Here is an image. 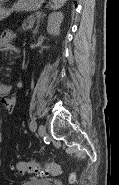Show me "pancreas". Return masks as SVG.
<instances>
[{
    "label": "pancreas",
    "instance_id": "1",
    "mask_svg": "<svg viewBox=\"0 0 119 185\" xmlns=\"http://www.w3.org/2000/svg\"><path fill=\"white\" fill-rule=\"evenodd\" d=\"M36 18H38L37 15H30V16H28L27 21L22 25V29L24 31L32 29Z\"/></svg>",
    "mask_w": 119,
    "mask_h": 185
}]
</instances>
